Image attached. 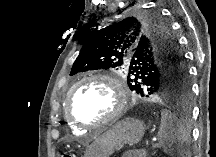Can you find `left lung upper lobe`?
Returning <instances> with one entry per match:
<instances>
[{
	"label": "left lung upper lobe",
	"mask_w": 216,
	"mask_h": 157,
	"mask_svg": "<svg viewBox=\"0 0 216 157\" xmlns=\"http://www.w3.org/2000/svg\"><path fill=\"white\" fill-rule=\"evenodd\" d=\"M162 18L160 10H137L136 15L87 33L70 75L123 67L128 70L129 88L142 97L164 94L188 99L185 58Z\"/></svg>",
	"instance_id": "obj_1"
}]
</instances>
